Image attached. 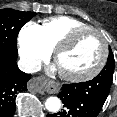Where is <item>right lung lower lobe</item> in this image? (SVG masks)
Returning a JSON list of instances; mask_svg holds the SVG:
<instances>
[{"mask_svg": "<svg viewBox=\"0 0 117 117\" xmlns=\"http://www.w3.org/2000/svg\"><path fill=\"white\" fill-rule=\"evenodd\" d=\"M31 74L19 70L16 59L7 58L0 53V117H12L15 97L18 92L27 90Z\"/></svg>", "mask_w": 117, "mask_h": 117, "instance_id": "98d812e1", "label": "right lung lower lobe"}]
</instances>
